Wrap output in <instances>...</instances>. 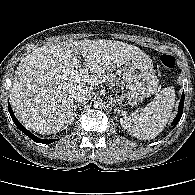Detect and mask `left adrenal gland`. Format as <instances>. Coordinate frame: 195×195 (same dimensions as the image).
Segmentation results:
<instances>
[{"label":"left adrenal gland","instance_id":"obj_1","mask_svg":"<svg viewBox=\"0 0 195 195\" xmlns=\"http://www.w3.org/2000/svg\"><path fill=\"white\" fill-rule=\"evenodd\" d=\"M114 113L116 114L115 118L117 119V114L119 113L117 108L114 109Z\"/></svg>","mask_w":195,"mask_h":195}]
</instances>
